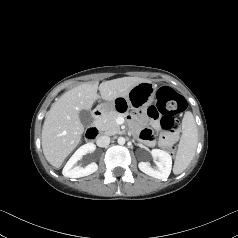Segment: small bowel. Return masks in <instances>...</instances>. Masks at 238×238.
Wrapping results in <instances>:
<instances>
[{"mask_svg":"<svg viewBox=\"0 0 238 238\" xmlns=\"http://www.w3.org/2000/svg\"><path fill=\"white\" fill-rule=\"evenodd\" d=\"M146 113L148 116L152 117L151 122L153 127L159 128L163 117L161 114L157 113L156 108L150 106L147 108ZM145 120L146 117L143 114H139L131 118V124L134 129L138 130L140 139L147 145L151 146L155 144V133L149 128L141 127Z\"/></svg>","mask_w":238,"mask_h":238,"instance_id":"small-bowel-1","label":"small bowel"}]
</instances>
